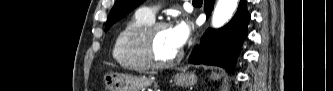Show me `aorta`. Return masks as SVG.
<instances>
[{"instance_id": "762f6f07", "label": "aorta", "mask_w": 333, "mask_h": 91, "mask_svg": "<svg viewBox=\"0 0 333 91\" xmlns=\"http://www.w3.org/2000/svg\"><path fill=\"white\" fill-rule=\"evenodd\" d=\"M238 5V0H218L212 16V26L222 27L232 17Z\"/></svg>"}]
</instances>
